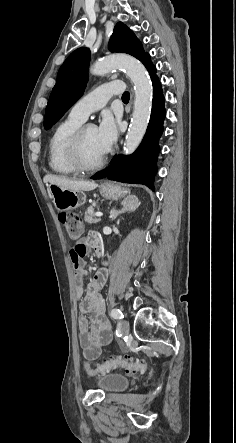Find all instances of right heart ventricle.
Listing matches in <instances>:
<instances>
[{"label": "right heart ventricle", "instance_id": "right-heart-ventricle-1", "mask_svg": "<svg viewBox=\"0 0 236 443\" xmlns=\"http://www.w3.org/2000/svg\"><path fill=\"white\" fill-rule=\"evenodd\" d=\"M83 122L69 115L53 131L48 145V164L52 171L62 175L77 172L68 161L66 148L70 137Z\"/></svg>", "mask_w": 236, "mask_h": 443}]
</instances>
